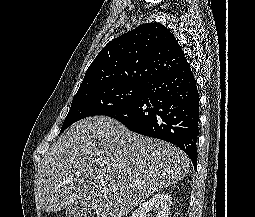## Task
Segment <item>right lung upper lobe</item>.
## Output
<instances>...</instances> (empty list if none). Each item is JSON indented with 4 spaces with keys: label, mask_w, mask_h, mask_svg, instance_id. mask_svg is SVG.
Instances as JSON below:
<instances>
[{
    "label": "right lung upper lobe",
    "mask_w": 255,
    "mask_h": 217,
    "mask_svg": "<svg viewBox=\"0 0 255 217\" xmlns=\"http://www.w3.org/2000/svg\"><path fill=\"white\" fill-rule=\"evenodd\" d=\"M188 61L164 25L146 23L110 41L86 71L78 91L99 86L148 85Z\"/></svg>",
    "instance_id": "right-lung-upper-lobe-1"
}]
</instances>
